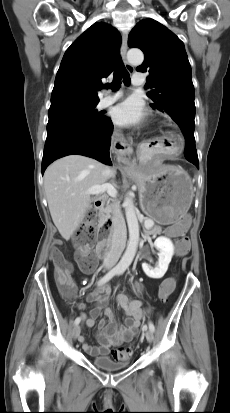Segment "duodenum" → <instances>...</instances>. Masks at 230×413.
Wrapping results in <instances>:
<instances>
[{"instance_id": "duodenum-1", "label": "duodenum", "mask_w": 230, "mask_h": 413, "mask_svg": "<svg viewBox=\"0 0 230 413\" xmlns=\"http://www.w3.org/2000/svg\"><path fill=\"white\" fill-rule=\"evenodd\" d=\"M106 198L98 197L94 201L95 208L101 210L105 205ZM111 233V221L109 219L104 220L102 228L99 233V242L96 245L95 252L99 258H104L109 251V236Z\"/></svg>"}]
</instances>
